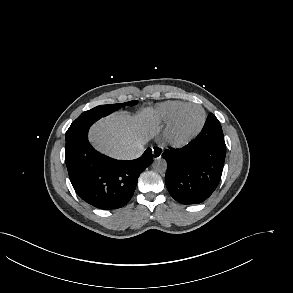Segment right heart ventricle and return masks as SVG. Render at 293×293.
<instances>
[{"label":"right heart ventricle","mask_w":293,"mask_h":293,"mask_svg":"<svg viewBox=\"0 0 293 293\" xmlns=\"http://www.w3.org/2000/svg\"><path fill=\"white\" fill-rule=\"evenodd\" d=\"M181 104L183 102L180 101H167L159 104L155 111L157 119L163 123L169 122L173 113Z\"/></svg>","instance_id":"right-heart-ventricle-1"}]
</instances>
